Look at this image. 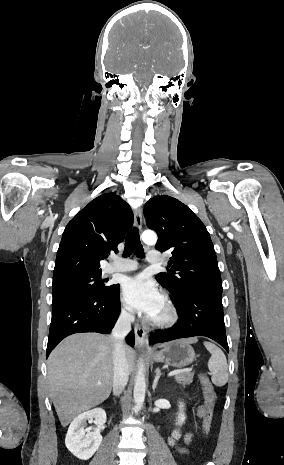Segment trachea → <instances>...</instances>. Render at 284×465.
<instances>
[{
    "mask_svg": "<svg viewBox=\"0 0 284 465\" xmlns=\"http://www.w3.org/2000/svg\"><path fill=\"white\" fill-rule=\"evenodd\" d=\"M132 253H135L137 257L144 258V250L140 242L137 228H132L127 234L123 256L129 257Z\"/></svg>",
    "mask_w": 284,
    "mask_h": 465,
    "instance_id": "1",
    "label": "trachea"
}]
</instances>
